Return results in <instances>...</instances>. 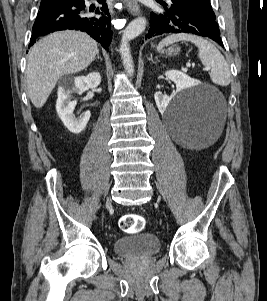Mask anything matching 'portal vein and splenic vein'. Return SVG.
<instances>
[{
  "label": "portal vein and splenic vein",
  "instance_id": "18ae733b",
  "mask_svg": "<svg viewBox=\"0 0 267 301\" xmlns=\"http://www.w3.org/2000/svg\"><path fill=\"white\" fill-rule=\"evenodd\" d=\"M187 66L189 67V66H191V64H190V63H188V64H187ZM192 66H193V64H192ZM204 70H206V71H209V70H210V68H208V67H205V68H204Z\"/></svg>",
  "mask_w": 267,
  "mask_h": 301
}]
</instances>
